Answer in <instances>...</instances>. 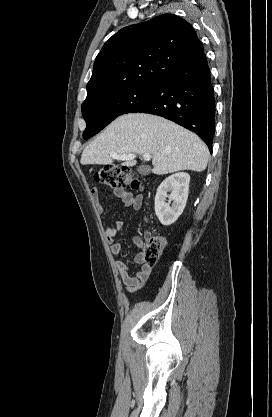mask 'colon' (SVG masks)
<instances>
[{"instance_id":"colon-1","label":"colon","mask_w":272,"mask_h":417,"mask_svg":"<svg viewBox=\"0 0 272 417\" xmlns=\"http://www.w3.org/2000/svg\"><path fill=\"white\" fill-rule=\"evenodd\" d=\"M94 180L98 183L114 187L140 189L142 183L127 168H121L115 165H105L98 169L94 175ZM167 246V240L163 236H151L147 239L144 252L143 262L146 265H154L163 254Z\"/></svg>"}]
</instances>
